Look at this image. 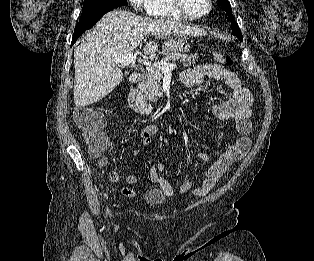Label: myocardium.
Returning <instances> with one entry per match:
<instances>
[{
    "label": "myocardium",
    "instance_id": "myocardium-1",
    "mask_svg": "<svg viewBox=\"0 0 314 261\" xmlns=\"http://www.w3.org/2000/svg\"><path fill=\"white\" fill-rule=\"evenodd\" d=\"M171 2L178 11H180L185 17L190 18V19H202L206 17L212 11L213 3H214L213 0H208L207 10L204 13L197 15L187 10V8L185 7L183 3V0H171Z\"/></svg>",
    "mask_w": 314,
    "mask_h": 261
}]
</instances>
